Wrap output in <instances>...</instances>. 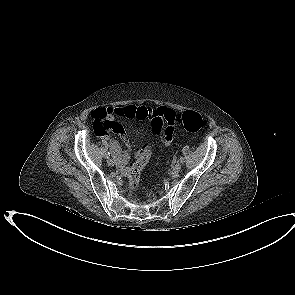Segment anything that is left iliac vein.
Here are the masks:
<instances>
[{
    "instance_id": "4c4485c4",
    "label": "left iliac vein",
    "mask_w": 295,
    "mask_h": 295,
    "mask_svg": "<svg viewBox=\"0 0 295 295\" xmlns=\"http://www.w3.org/2000/svg\"><path fill=\"white\" fill-rule=\"evenodd\" d=\"M180 169H181V164L179 162H177L172 168L173 172L175 173H178Z\"/></svg>"
}]
</instances>
